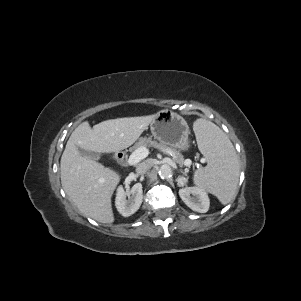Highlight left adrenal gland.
<instances>
[{
  "mask_svg": "<svg viewBox=\"0 0 301 301\" xmlns=\"http://www.w3.org/2000/svg\"><path fill=\"white\" fill-rule=\"evenodd\" d=\"M181 173L186 174L185 172L181 171Z\"/></svg>",
  "mask_w": 301,
  "mask_h": 301,
  "instance_id": "a2214340",
  "label": "left adrenal gland"
}]
</instances>
